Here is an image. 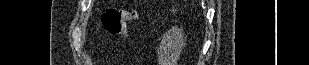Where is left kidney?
<instances>
[{"label":"left kidney","instance_id":"left-kidney-1","mask_svg":"<svg viewBox=\"0 0 309 65\" xmlns=\"http://www.w3.org/2000/svg\"><path fill=\"white\" fill-rule=\"evenodd\" d=\"M184 45V34L182 28L173 27L162 37L157 51L160 65H177Z\"/></svg>","mask_w":309,"mask_h":65}]
</instances>
